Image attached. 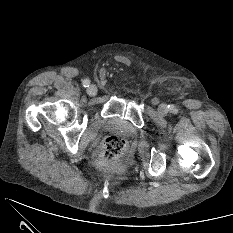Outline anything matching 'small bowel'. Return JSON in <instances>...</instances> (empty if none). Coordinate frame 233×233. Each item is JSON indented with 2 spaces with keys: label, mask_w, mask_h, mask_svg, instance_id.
Listing matches in <instances>:
<instances>
[{
  "label": "small bowel",
  "mask_w": 233,
  "mask_h": 233,
  "mask_svg": "<svg viewBox=\"0 0 233 233\" xmlns=\"http://www.w3.org/2000/svg\"><path fill=\"white\" fill-rule=\"evenodd\" d=\"M119 61L123 63H128V59L126 57H119Z\"/></svg>",
  "instance_id": "1"
}]
</instances>
